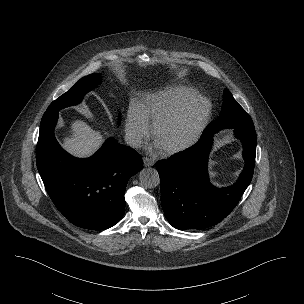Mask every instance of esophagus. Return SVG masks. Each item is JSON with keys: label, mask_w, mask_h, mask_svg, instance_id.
<instances>
[{"label": "esophagus", "mask_w": 304, "mask_h": 304, "mask_svg": "<svg viewBox=\"0 0 304 304\" xmlns=\"http://www.w3.org/2000/svg\"><path fill=\"white\" fill-rule=\"evenodd\" d=\"M143 162H144V166L145 167L153 166L154 163H155L153 159L148 158V157H145L144 160H143Z\"/></svg>", "instance_id": "1"}]
</instances>
